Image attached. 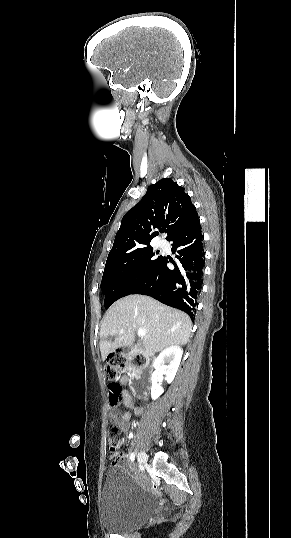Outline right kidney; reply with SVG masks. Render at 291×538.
<instances>
[{"instance_id":"right-kidney-1","label":"right kidney","mask_w":291,"mask_h":538,"mask_svg":"<svg viewBox=\"0 0 291 538\" xmlns=\"http://www.w3.org/2000/svg\"><path fill=\"white\" fill-rule=\"evenodd\" d=\"M182 348L177 345L169 346L164 349L154 361V372L151 377V397L153 400L159 398L164 392L161 386L163 374H166V381L171 383L175 378L176 372L182 358Z\"/></svg>"}]
</instances>
